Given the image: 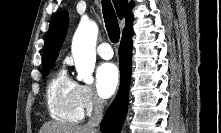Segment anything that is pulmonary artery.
Returning a JSON list of instances; mask_svg holds the SVG:
<instances>
[{
	"instance_id": "1",
	"label": "pulmonary artery",
	"mask_w": 221,
	"mask_h": 133,
	"mask_svg": "<svg viewBox=\"0 0 221 133\" xmlns=\"http://www.w3.org/2000/svg\"><path fill=\"white\" fill-rule=\"evenodd\" d=\"M98 55L105 60H109L113 57V50L111 45L107 42L101 43L97 48Z\"/></svg>"
}]
</instances>
